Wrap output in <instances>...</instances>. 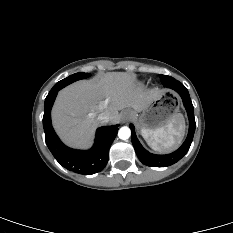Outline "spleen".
Instances as JSON below:
<instances>
[{"label": "spleen", "instance_id": "obj_1", "mask_svg": "<svg viewBox=\"0 0 233 233\" xmlns=\"http://www.w3.org/2000/svg\"><path fill=\"white\" fill-rule=\"evenodd\" d=\"M184 130V118L178 113L173 115L165 126L154 130L143 129L141 134L153 150L164 152L175 148L180 143Z\"/></svg>", "mask_w": 233, "mask_h": 233}]
</instances>
